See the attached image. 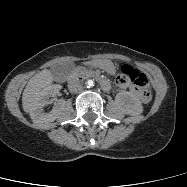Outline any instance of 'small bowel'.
I'll list each match as a JSON object with an SVG mask.
<instances>
[{"instance_id":"obj_1","label":"small bowel","mask_w":187,"mask_h":187,"mask_svg":"<svg viewBox=\"0 0 187 187\" xmlns=\"http://www.w3.org/2000/svg\"><path fill=\"white\" fill-rule=\"evenodd\" d=\"M117 85L122 89L129 88L131 92L140 97L138 90L134 87L133 84H131L130 80L122 77H117Z\"/></svg>"}]
</instances>
